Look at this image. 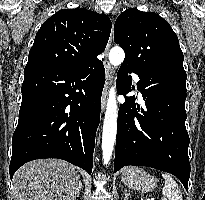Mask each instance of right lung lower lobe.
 <instances>
[{
  "instance_id": "obj_1",
  "label": "right lung lower lobe",
  "mask_w": 205,
  "mask_h": 200,
  "mask_svg": "<svg viewBox=\"0 0 205 200\" xmlns=\"http://www.w3.org/2000/svg\"><path fill=\"white\" fill-rule=\"evenodd\" d=\"M105 70L99 60L75 68H25L9 173L28 161L60 158L92 171Z\"/></svg>"
}]
</instances>
